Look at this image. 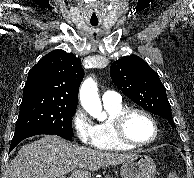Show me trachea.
<instances>
[{"label":"trachea","mask_w":194,"mask_h":178,"mask_svg":"<svg viewBox=\"0 0 194 178\" xmlns=\"http://www.w3.org/2000/svg\"><path fill=\"white\" fill-rule=\"evenodd\" d=\"M91 25H92V26H97V23H92Z\"/></svg>","instance_id":"trachea-1"}]
</instances>
